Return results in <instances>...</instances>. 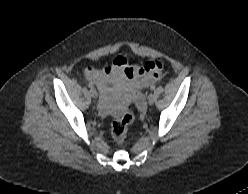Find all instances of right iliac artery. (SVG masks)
<instances>
[{
  "label": "right iliac artery",
  "mask_w": 248,
  "mask_h": 194,
  "mask_svg": "<svg viewBox=\"0 0 248 194\" xmlns=\"http://www.w3.org/2000/svg\"><path fill=\"white\" fill-rule=\"evenodd\" d=\"M88 87L89 88H93V84L92 83H88Z\"/></svg>",
  "instance_id": "82829eb1"
}]
</instances>
